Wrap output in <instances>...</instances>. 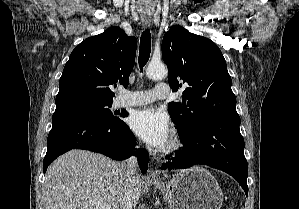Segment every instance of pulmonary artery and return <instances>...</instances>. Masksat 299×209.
<instances>
[{"instance_id":"pulmonary-artery-1","label":"pulmonary artery","mask_w":299,"mask_h":209,"mask_svg":"<svg viewBox=\"0 0 299 209\" xmlns=\"http://www.w3.org/2000/svg\"><path fill=\"white\" fill-rule=\"evenodd\" d=\"M170 95V89L167 83H157L152 90L124 91L119 99L120 107L138 106L151 103L157 99H163Z\"/></svg>"}]
</instances>
